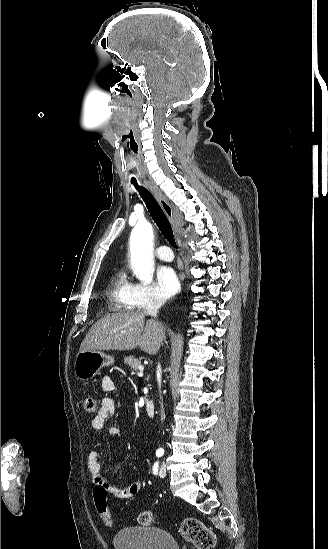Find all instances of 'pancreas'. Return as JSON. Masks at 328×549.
Masks as SVG:
<instances>
[{
	"label": "pancreas",
	"instance_id": "1",
	"mask_svg": "<svg viewBox=\"0 0 328 549\" xmlns=\"http://www.w3.org/2000/svg\"><path fill=\"white\" fill-rule=\"evenodd\" d=\"M141 361L139 359H135L133 355H130V357H125L124 359V365H128V367H131V369H138ZM147 381H149V375L147 377Z\"/></svg>",
	"mask_w": 328,
	"mask_h": 549
}]
</instances>
